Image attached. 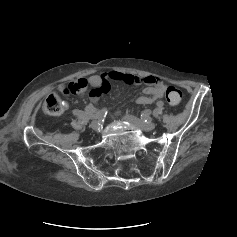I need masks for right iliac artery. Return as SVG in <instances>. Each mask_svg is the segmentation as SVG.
Masks as SVG:
<instances>
[{
  "label": "right iliac artery",
  "instance_id": "82829eb1",
  "mask_svg": "<svg viewBox=\"0 0 237 237\" xmlns=\"http://www.w3.org/2000/svg\"><path fill=\"white\" fill-rule=\"evenodd\" d=\"M72 113H73V115H75L79 118H95V119L102 120L107 115V109H105V108L101 109L96 114H90L86 111H81V110H77V109L73 110Z\"/></svg>",
  "mask_w": 237,
  "mask_h": 237
}]
</instances>
